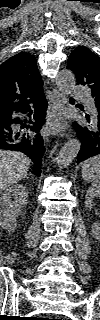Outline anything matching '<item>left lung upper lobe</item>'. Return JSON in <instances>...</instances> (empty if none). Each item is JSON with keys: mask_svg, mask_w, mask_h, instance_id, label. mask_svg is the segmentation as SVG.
Masks as SVG:
<instances>
[{"mask_svg": "<svg viewBox=\"0 0 100 320\" xmlns=\"http://www.w3.org/2000/svg\"><path fill=\"white\" fill-rule=\"evenodd\" d=\"M67 68L75 73L78 85L91 89L97 112L100 111V58L90 49L80 46L70 54Z\"/></svg>", "mask_w": 100, "mask_h": 320, "instance_id": "obj_1", "label": "left lung upper lobe"}]
</instances>
